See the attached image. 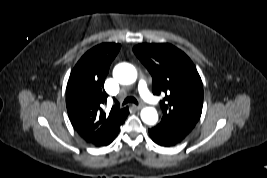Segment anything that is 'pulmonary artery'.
Segmentation results:
<instances>
[{
    "instance_id": "1",
    "label": "pulmonary artery",
    "mask_w": 267,
    "mask_h": 178,
    "mask_svg": "<svg viewBox=\"0 0 267 178\" xmlns=\"http://www.w3.org/2000/svg\"><path fill=\"white\" fill-rule=\"evenodd\" d=\"M138 91L141 96L150 104L157 105L159 103V99L152 95L149 91L146 82L143 79L138 81Z\"/></svg>"
}]
</instances>
